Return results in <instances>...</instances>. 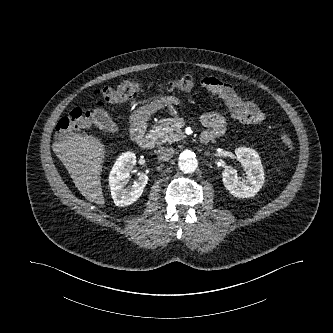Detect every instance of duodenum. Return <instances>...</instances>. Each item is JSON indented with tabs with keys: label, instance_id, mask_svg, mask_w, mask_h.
Returning a JSON list of instances; mask_svg holds the SVG:
<instances>
[{
	"label": "duodenum",
	"instance_id": "obj_1",
	"mask_svg": "<svg viewBox=\"0 0 333 333\" xmlns=\"http://www.w3.org/2000/svg\"><path fill=\"white\" fill-rule=\"evenodd\" d=\"M145 117L140 115L136 117L133 121L131 128V137L133 141L144 149H151L154 146V137L145 131ZM212 139V136L205 132L200 136V141L202 143H207Z\"/></svg>",
	"mask_w": 333,
	"mask_h": 333
}]
</instances>
